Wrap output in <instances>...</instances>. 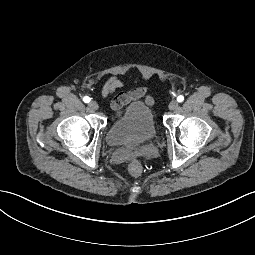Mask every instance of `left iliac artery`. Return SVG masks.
Segmentation results:
<instances>
[{
	"mask_svg": "<svg viewBox=\"0 0 255 255\" xmlns=\"http://www.w3.org/2000/svg\"><path fill=\"white\" fill-rule=\"evenodd\" d=\"M184 100V97L182 95L178 96L177 97V101L178 102H182Z\"/></svg>",
	"mask_w": 255,
	"mask_h": 255,
	"instance_id": "obj_1",
	"label": "left iliac artery"
}]
</instances>
